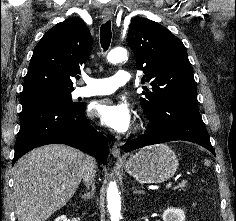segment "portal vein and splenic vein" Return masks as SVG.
<instances>
[{"mask_svg":"<svg viewBox=\"0 0 236 221\" xmlns=\"http://www.w3.org/2000/svg\"><path fill=\"white\" fill-rule=\"evenodd\" d=\"M186 184V181H182L180 184H179V187H184ZM172 187V182H168L165 186V189H170Z\"/></svg>","mask_w":236,"mask_h":221,"instance_id":"obj_1","label":"portal vein and splenic vein"}]
</instances>
